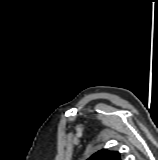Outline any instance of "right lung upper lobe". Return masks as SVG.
Returning a JSON list of instances; mask_svg holds the SVG:
<instances>
[{
	"instance_id": "cb5924a9",
	"label": "right lung upper lobe",
	"mask_w": 158,
	"mask_h": 160,
	"mask_svg": "<svg viewBox=\"0 0 158 160\" xmlns=\"http://www.w3.org/2000/svg\"><path fill=\"white\" fill-rule=\"evenodd\" d=\"M88 160H121V158L118 152L103 149L94 153Z\"/></svg>"
}]
</instances>
